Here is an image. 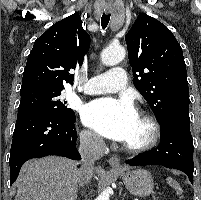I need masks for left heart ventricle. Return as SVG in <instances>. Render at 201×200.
Instances as JSON below:
<instances>
[{"instance_id": "1", "label": "left heart ventricle", "mask_w": 201, "mask_h": 200, "mask_svg": "<svg viewBox=\"0 0 201 200\" xmlns=\"http://www.w3.org/2000/svg\"><path fill=\"white\" fill-rule=\"evenodd\" d=\"M149 135V125L143 118L137 116L131 134L129 138L125 141V143L130 145H138L145 142L148 139Z\"/></svg>"}]
</instances>
